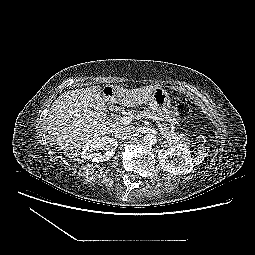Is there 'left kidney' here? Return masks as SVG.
Instances as JSON below:
<instances>
[{
  "mask_svg": "<svg viewBox=\"0 0 255 255\" xmlns=\"http://www.w3.org/2000/svg\"><path fill=\"white\" fill-rule=\"evenodd\" d=\"M172 157H177L180 162L176 164L173 160H170ZM158 159L161 168L174 175L190 173L194 167L191 151L189 147L184 144H177L171 146L169 149L159 150Z\"/></svg>",
  "mask_w": 255,
  "mask_h": 255,
  "instance_id": "left-kidney-1",
  "label": "left kidney"
}]
</instances>
